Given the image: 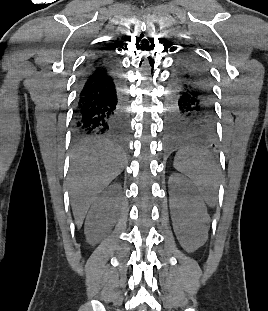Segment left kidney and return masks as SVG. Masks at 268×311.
Returning <instances> with one entry per match:
<instances>
[{
	"label": "left kidney",
	"mask_w": 268,
	"mask_h": 311,
	"mask_svg": "<svg viewBox=\"0 0 268 311\" xmlns=\"http://www.w3.org/2000/svg\"><path fill=\"white\" fill-rule=\"evenodd\" d=\"M168 183L174 232L182 248L189 253L194 252L207 239V209L189 179L174 173Z\"/></svg>",
	"instance_id": "1"
}]
</instances>
